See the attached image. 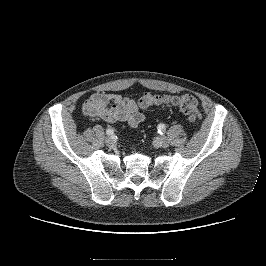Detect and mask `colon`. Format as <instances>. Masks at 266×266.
<instances>
[{"label":"colon","mask_w":266,"mask_h":266,"mask_svg":"<svg viewBox=\"0 0 266 266\" xmlns=\"http://www.w3.org/2000/svg\"><path fill=\"white\" fill-rule=\"evenodd\" d=\"M164 103L178 107L182 113L187 115L191 123H196L201 117L198 102L192 95L162 96L154 93H146L138 101L141 108L158 106Z\"/></svg>","instance_id":"colon-1"}]
</instances>
